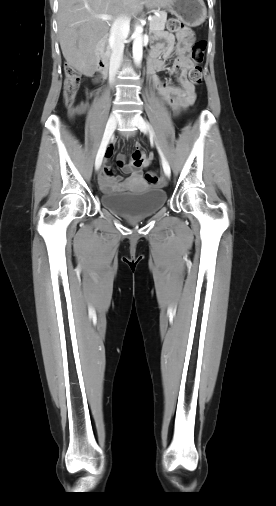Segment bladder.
I'll use <instances>...</instances> for the list:
<instances>
[{"label": "bladder", "mask_w": 276, "mask_h": 506, "mask_svg": "<svg viewBox=\"0 0 276 506\" xmlns=\"http://www.w3.org/2000/svg\"><path fill=\"white\" fill-rule=\"evenodd\" d=\"M166 192L147 187L139 191L109 192L100 196L107 209L127 217H143L155 213L166 202Z\"/></svg>", "instance_id": "bladder-1"}]
</instances>
